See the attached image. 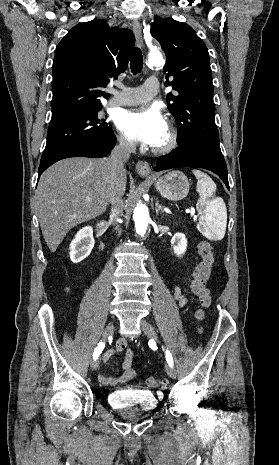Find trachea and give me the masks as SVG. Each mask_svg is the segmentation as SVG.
<instances>
[{"mask_svg": "<svg viewBox=\"0 0 279 465\" xmlns=\"http://www.w3.org/2000/svg\"><path fill=\"white\" fill-rule=\"evenodd\" d=\"M130 66L133 74H138L143 68V56L139 48H134L131 52Z\"/></svg>", "mask_w": 279, "mask_h": 465, "instance_id": "obj_1", "label": "trachea"}]
</instances>
